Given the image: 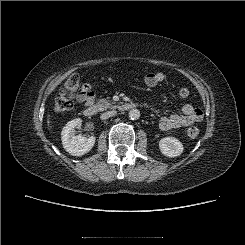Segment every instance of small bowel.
Here are the masks:
<instances>
[{
  "label": "small bowel",
  "instance_id": "obj_1",
  "mask_svg": "<svg viewBox=\"0 0 245 245\" xmlns=\"http://www.w3.org/2000/svg\"><path fill=\"white\" fill-rule=\"evenodd\" d=\"M165 76L162 72H151L145 77V83L149 87H155L162 83ZM94 100V92L89 83H84L81 92L77 95V101L80 103L90 104ZM203 112L200 108L194 107L187 103L182 107V114H172L164 116L159 122V127L163 131H169L180 127L189 126L201 121Z\"/></svg>",
  "mask_w": 245,
  "mask_h": 245
}]
</instances>
